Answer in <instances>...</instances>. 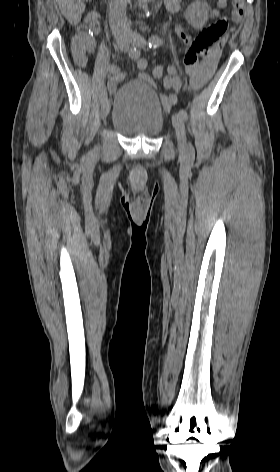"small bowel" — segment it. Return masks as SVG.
<instances>
[{"label":"small bowel","mask_w":280,"mask_h":472,"mask_svg":"<svg viewBox=\"0 0 280 472\" xmlns=\"http://www.w3.org/2000/svg\"><path fill=\"white\" fill-rule=\"evenodd\" d=\"M227 0H217L216 7L211 12V16L216 18L220 15V12L226 7ZM165 6L168 11L172 13H179L181 6L178 0H165ZM93 23V17H89L84 21V24ZM197 29L178 24L175 26V32L177 35L187 44H190L194 39L192 32ZM227 37H224L226 42ZM95 40L91 35H88L82 31V27H79L72 39V52L75 60L80 65H85L87 61V55L93 53L95 50ZM222 47L218 48L210 57L203 59L194 66L186 65V73L189 76V89L196 91L202 88L214 75L220 52ZM80 61V62H79ZM136 65L138 69L139 78L143 81L153 82L150 75L146 73L147 61L145 58L136 59ZM124 74L119 72L112 76L109 82V90L114 91L117 87V83L123 80ZM164 86L168 89L171 88V81L168 76L164 78ZM160 100L166 111L177 103V97L172 94H161Z\"/></svg>","instance_id":"1"}]
</instances>
